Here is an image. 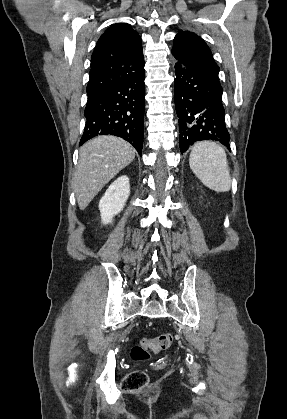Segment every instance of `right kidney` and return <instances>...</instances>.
<instances>
[{"mask_svg":"<svg viewBox=\"0 0 287 419\" xmlns=\"http://www.w3.org/2000/svg\"><path fill=\"white\" fill-rule=\"evenodd\" d=\"M130 195V184L127 176L116 179L100 199L99 210L103 224L112 222V218L120 213Z\"/></svg>","mask_w":287,"mask_h":419,"instance_id":"ca27d5eb","label":"right kidney"}]
</instances>
